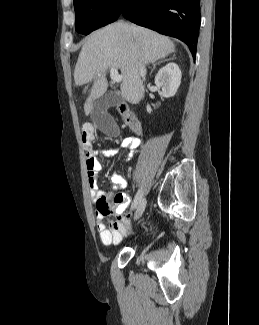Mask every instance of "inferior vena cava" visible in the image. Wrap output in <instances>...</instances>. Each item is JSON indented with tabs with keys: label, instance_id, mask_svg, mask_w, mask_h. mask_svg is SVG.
I'll list each match as a JSON object with an SVG mask.
<instances>
[{
	"label": "inferior vena cava",
	"instance_id": "inferior-vena-cava-1",
	"mask_svg": "<svg viewBox=\"0 0 259 325\" xmlns=\"http://www.w3.org/2000/svg\"><path fill=\"white\" fill-rule=\"evenodd\" d=\"M131 28L134 30V26H131ZM139 72H140V75L143 79H145V75H146V69H145V66L142 62H139Z\"/></svg>",
	"mask_w": 259,
	"mask_h": 325
}]
</instances>
